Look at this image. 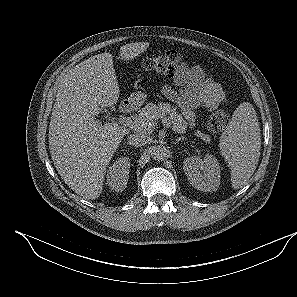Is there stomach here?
I'll use <instances>...</instances> for the list:
<instances>
[{"mask_svg": "<svg viewBox=\"0 0 297 297\" xmlns=\"http://www.w3.org/2000/svg\"><path fill=\"white\" fill-rule=\"evenodd\" d=\"M146 99V94L143 92H136L132 94L129 98V100L137 105H141L144 103Z\"/></svg>", "mask_w": 297, "mask_h": 297, "instance_id": "obj_1", "label": "stomach"}]
</instances>
